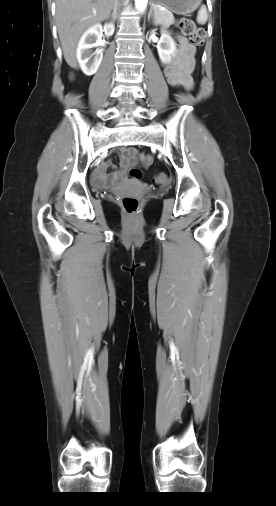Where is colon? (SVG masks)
Wrapping results in <instances>:
<instances>
[{
  "label": "colon",
  "mask_w": 276,
  "mask_h": 506,
  "mask_svg": "<svg viewBox=\"0 0 276 506\" xmlns=\"http://www.w3.org/2000/svg\"><path fill=\"white\" fill-rule=\"evenodd\" d=\"M178 27L181 33L189 37L190 42L195 46H202L205 42L206 34L203 29L196 28L193 20L190 18H181L178 21ZM133 179H140L142 172L138 168H132L129 172ZM158 184H164L167 182V176L164 173H159L154 178ZM122 206L128 214H134L138 210L139 201L134 196H125L122 199Z\"/></svg>",
  "instance_id": "obj_1"
}]
</instances>
